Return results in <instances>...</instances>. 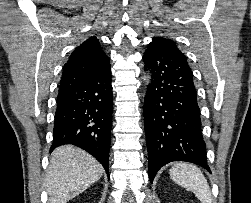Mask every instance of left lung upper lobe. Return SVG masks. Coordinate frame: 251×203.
I'll use <instances>...</instances> for the list:
<instances>
[{
  "label": "left lung upper lobe",
  "mask_w": 251,
  "mask_h": 203,
  "mask_svg": "<svg viewBox=\"0 0 251 203\" xmlns=\"http://www.w3.org/2000/svg\"><path fill=\"white\" fill-rule=\"evenodd\" d=\"M153 40H161V41H166V42H170V43H172V44H174L175 45V43L172 41V40H170V39H166V38H162V37H154L153 38ZM176 46V45H175Z\"/></svg>",
  "instance_id": "5c2ea615"
}]
</instances>
